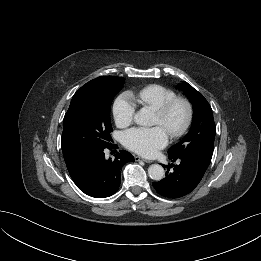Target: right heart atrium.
Here are the masks:
<instances>
[{
    "label": "right heart atrium",
    "mask_w": 261,
    "mask_h": 261,
    "mask_svg": "<svg viewBox=\"0 0 261 261\" xmlns=\"http://www.w3.org/2000/svg\"><path fill=\"white\" fill-rule=\"evenodd\" d=\"M135 112V103L127 94L119 96L113 104V117L116 125L119 127H127L130 125L134 120Z\"/></svg>",
    "instance_id": "right-heart-atrium-1"
}]
</instances>
